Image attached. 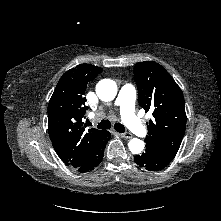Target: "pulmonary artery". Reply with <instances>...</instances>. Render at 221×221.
Listing matches in <instances>:
<instances>
[{
  "label": "pulmonary artery",
  "mask_w": 221,
  "mask_h": 221,
  "mask_svg": "<svg viewBox=\"0 0 221 221\" xmlns=\"http://www.w3.org/2000/svg\"><path fill=\"white\" fill-rule=\"evenodd\" d=\"M136 91L130 84L124 85L116 98L115 104L120 107L121 118L126 126L138 136H144L146 129L134 112Z\"/></svg>",
  "instance_id": "1"
}]
</instances>
